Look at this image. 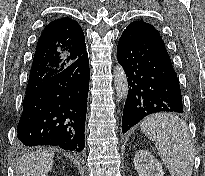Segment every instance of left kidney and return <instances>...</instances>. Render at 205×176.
Listing matches in <instances>:
<instances>
[{"mask_svg": "<svg viewBox=\"0 0 205 176\" xmlns=\"http://www.w3.org/2000/svg\"><path fill=\"white\" fill-rule=\"evenodd\" d=\"M134 166L139 176H164L162 165L147 150H139L136 153Z\"/></svg>", "mask_w": 205, "mask_h": 176, "instance_id": "obj_1", "label": "left kidney"}]
</instances>
